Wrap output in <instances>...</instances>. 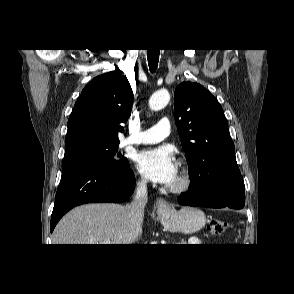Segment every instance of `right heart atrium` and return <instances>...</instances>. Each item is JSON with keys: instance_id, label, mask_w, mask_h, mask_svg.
Returning <instances> with one entry per match:
<instances>
[{"instance_id": "d8ad5b80", "label": "right heart atrium", "mask_w": 294, "mask_h": 294, "mask_svg": "<svg viewBox=\"0 0 294 294\" xmlns=\"http://www.w3.org/2000/svg\"><path fill=\"white\" fill-rule=\"evenodd\" d=\"M137 185L138 187L140 188H145L146 187V180L144 178H140L138 181H137Z\"/></svg>"}]
</instances>
